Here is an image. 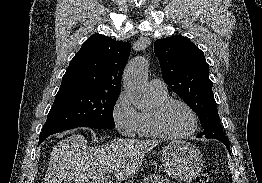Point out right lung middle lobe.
Returning a JSON list of instances; mask_svg holds the SVG:
<instances>
[{
    "label": "right lung middle lobe",
    "mask_w": 262,
    "mask_h": 183,
    "mask_svg": "<svg viewBox=\"0 0 262 183\" xmlns=\"http://www.w3.org/2000/svg\"><path fill=\"white\" fill-rule=\"evenodd\" d=\"M118 97L119 93L95 90L57 93L42 132H60L86 126L113 128V108Z\"/></svg>",
    "instance_id": "1"
}]
</instances>
